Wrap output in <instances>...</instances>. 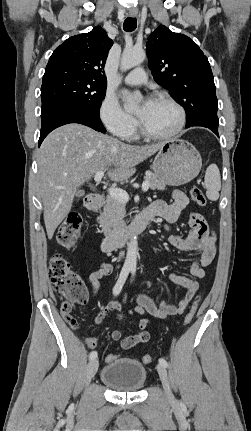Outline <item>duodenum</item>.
I'll return each instance as SVG.
<instances>
[{"label": "duodenum", "instance_id": "obj_1", "mask_svg": "<svg viewBox=\"0 0 251 431\" xmlns=\"http://www.w3.org/2000/svg\"><path fill=\"white\" fill-rule=\"evenodd\" d=\"M103 205V198L100 195H90L86 199V206L90 210H97ZM153 215L151 212L144 210L128 226L123 229L109 233L101 243L103 252H111L122 247L129 239L142 232L149 224Z\"/></svg>", "mask_w": 251, "mask_h": 431}]
</instances>
